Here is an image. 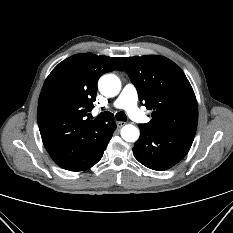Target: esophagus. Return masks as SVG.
Instances as JSON below:
<instances>
[{
	"instance_id": "esophagus-1",
	"label": "esophagus",
	"mask_w": 233,
	"mask_h": 233,
	"mask_svg": "<svg viewBox=\"0 0 233 233\" xmlns=\"http://www.w3.org/2000/svg\"><path fill=\"white\" fill-rule=\"evenodd\" d=\"M126 124V122H122V121H117L116 125L118 128H121L122 126H124Z\"/></svg>"
}]
</instances>
